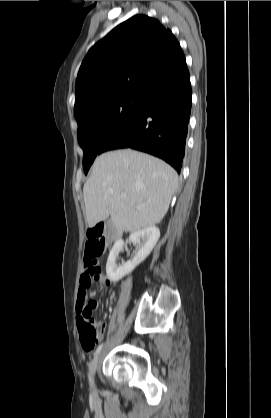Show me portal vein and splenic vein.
Wrapping results in <instances>:
<instances>
[{"instance_id": "18ae733b", "label": "portal vein and splenic vein", "mask_w": 271, "mask_h": 418, "mask_svg": "<svg viewBox=\"0 0 271 418\" xmlns=\"http://www.w3.org/2000/svg\"><path fill=\"white\" fill-rule=\"evenodd\" d=\"M122 199H126V194H121Z\"/></svg>"}]
</instances>
